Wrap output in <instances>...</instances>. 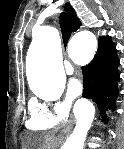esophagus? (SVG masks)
<instances>
[{
	"instance_id": "esophagus-1",
	"label": "esophagus",
	"mask_w": 124,
	"mask_h": 149,
	"mask_svg": "<svg viewBox=\"0 0 124 149\" xmlns=\"http://www.w3.org/2000/svg\"><path fill=\"white\" fill-rule=\"evenodd\" d=\"M72 124H73V120H70V121L66 124V126L62 129L61 132H62L63 134L69 133Z\"/></svg>"
}]
</instances>
